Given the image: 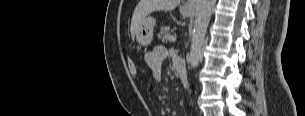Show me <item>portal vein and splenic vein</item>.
Returning <instances> with one entry per match:
<instances>
[{
    "mask_svg": "<svg viewBox=\"0 0 305 116\" xmlns=\"http://www.w3.org/2000/svg\"><path fill=\"white\" fill-rule=\"evenodd\" d=\"M169 41H170V42L176 41V37H175V36H170V37H169Z\"/></svg>",
    "mask_w": 305,
    "mask_h": 116,
    "instance_id": "portal-vein-and-splenic-vein-1",
    "label": "portal vein and splenic vein"
}]
</instances>
